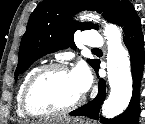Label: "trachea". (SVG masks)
<instances>
[{"label": "trachea", "instance_id": "3493384b", "mask_svg": "<svg viewBox=\"0 0 145 124\" xmlns=\"http://www.w3.org/2000/svg\"><path fill=\"white\" fill-rule=\"evenodd\" d=\"M96 50H99V49H97V48L93 49V51H96Z\"/></svg>", "mask_w": 145, "mask_h": 124}]
</instances>
